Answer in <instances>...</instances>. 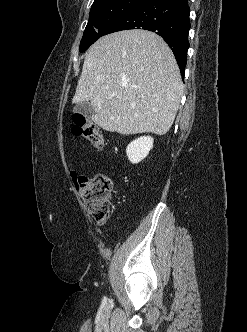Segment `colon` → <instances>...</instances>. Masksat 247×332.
<instances>
[{
	"mask_svg": "<svg viewBox=\"0 0 247 332\" xmlns=\"http://www.w3.org/2000/svg\"><path fill=\"white\" fill-rule=\"evenodd\" d=\"M72 132L81 136L97 149L105 146L104 137L98 126L83 115L72 117ZM78 192L86 203L90 214L98 223H104L110 213L112 197V181L104 172H97L90 176L75 177Z\"/></svg>",
	"mask_w": 247,
	"mask_h": 332,
	"instance_id": "colon-1",
	"label": "colon"
}]
</instances>
